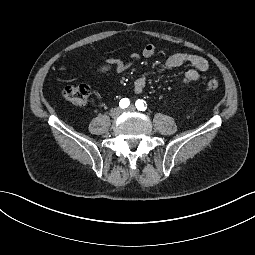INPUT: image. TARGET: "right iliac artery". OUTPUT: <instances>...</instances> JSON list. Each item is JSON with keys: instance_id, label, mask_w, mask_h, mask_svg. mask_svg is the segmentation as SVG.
Listing matches in <instances>:
<instances>
[{"instance_id": "right-iliac-artery-1", "label": "right iliac artery", "mask_w": 255, "mask_h": 255, "mask_svg": "<svg viewBox=\"0 0 255 255\" xmlns=\"http://www.w3.org/2000/svg\"><path fill=\"white\" fill-rule=\"evenodd\" d=\"M130 104V101L128 98H124V99H121L120 103H119V106L120 108H127Z\"/></svg>"}]
</instances>
